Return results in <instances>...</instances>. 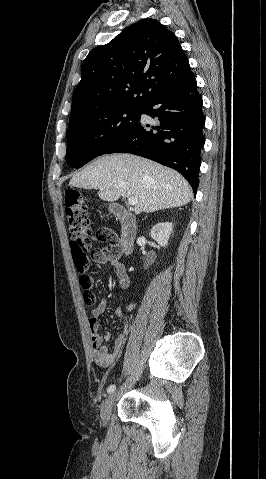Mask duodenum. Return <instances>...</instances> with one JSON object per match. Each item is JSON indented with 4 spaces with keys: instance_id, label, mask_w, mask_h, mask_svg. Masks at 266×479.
I'll list each match as a JSON object with an SVG mask.
<instances>
[{
    "instance_id": "1",
    "label": "duodenum",
    "mask_w": 266,
    "mask_h": 479,
    "mask_svg": "<svg viewBox=\"0 0 266 479\" xmlns=\"http://www.w3.org/2000/svg\"><path fill=\"white\" fill-rule=\"evenodd\" d=\"M111 210L122 224L120 241L116 246L112 247L111 254L118 259L125 258L133 251L134 239L136 237V219L134 215L120 205L113 204Z\"/></svg>"
}]
</instances>
